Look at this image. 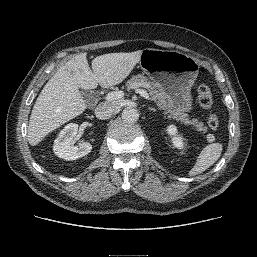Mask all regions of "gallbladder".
I'll list each match as a JSON object with an SVG mask.
<instances>
[{"instance_id":"gallbladder-1","label":"gallbladder","mask_w":257,"mask_h":257,"mask_svg":"<svg viewBox=\"0 0 257 257\" xmlns=\"http://www.w3.org/2000/svg\"><path fill=\"white\" fill-rule=\"evenodd\" d=\"M91 94L92 93L90 91H82V95L85 99H89Z\"/></svg>"}]
</instances>
